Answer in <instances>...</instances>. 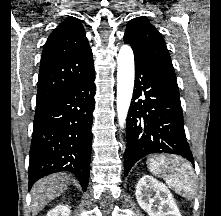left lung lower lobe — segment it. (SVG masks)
Instances as JSON below:
<instances>
[{"label": "left lung lower lobe", "instance_id": "0a47b994", "mask_svg": "<svg viewBox=\"0 0 221 216\" xmlns=\"http://www.w3.org/2000/svg\"><path fill=\"white\" fill-rule=\"evenodd\" d=\"M134 58L135 89L126 121L125 176L139 159L152 153L181 155L194 165L175 76L160 66Z\"/></svg>", "mask_w": 221, "mask_h": 216}]
</instances>
